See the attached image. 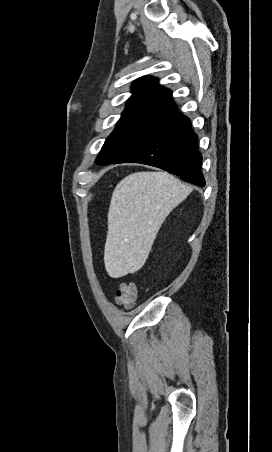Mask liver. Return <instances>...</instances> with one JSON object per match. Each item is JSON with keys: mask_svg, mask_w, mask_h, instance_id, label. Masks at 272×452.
<instances>
[{"mask_svg": "<svg viewBox=\"0 0 272 452\" xmlns=\"http://www.w3.org/2000/svg\"><path fill=\"white\" fill-rule=\"evenodd\" d=\"M190 192V187L167 172H136L117 184L104 249L110 277L120 278L143 267L162 223Z\"/></svg>", "mask_w": 272, "mask_h": 452, "instance_id": "obj_1", "label": "liver"}]
</instances>
